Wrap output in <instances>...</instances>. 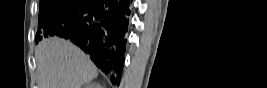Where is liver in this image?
Returning a JSON list of instances; mask_svg holds the SVG:
<instances>
[{"label":"liver","mask_w":267,"mask_h":88,"mask_svg":"<svg viewBox=\"0 0 267 88\" xmlns=\"http://www.w3.org/2000/svg\"><path fill=\"white\" fill-rule=\"evenodd\" d=\"M38 88H81L98 75L96 66L70 41L50 37L35 49Z\"/></svg>","instance_id":"1"}]
</instances>
